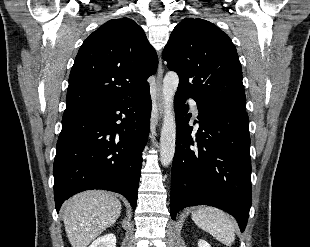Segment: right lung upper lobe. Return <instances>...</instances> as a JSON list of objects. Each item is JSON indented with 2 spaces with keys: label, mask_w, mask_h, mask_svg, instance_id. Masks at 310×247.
Instances as JSON below:
<instances>
[{
  "label": "right lung upper lobe",
  "mask_w": 310,
  "mask_h": 247,
  "mask_svg": "<svg viewBox=\"0 0 310 247\" xmlns=\"http://www.w3.org/2000/svg\"><path fill=\"white\" fill-rule=\"evenodd\" d=\"M155 50L129 18L112 19L84 41L69 76L66 108L124 99L149 88Z\"/></svg>",
  "instance_id": "cb5924a9"
}]
</instances>
